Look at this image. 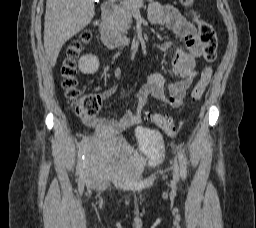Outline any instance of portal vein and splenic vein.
<instances>
[{"label":"portal vein and splenic vein","instance_id":"1","mask_svg":"<svg viewBox=\"0 0 256 228\" xmlns=\"http://www.w3.org/2000/svg\"><path fill=\"white\" fill-rule=\"evenodd\" d=\"M111 1H115V0H111ZM136 2L141 3V0H136Z\"/></svg>","mask_w":256,"mask_h":228}]
</instances>
